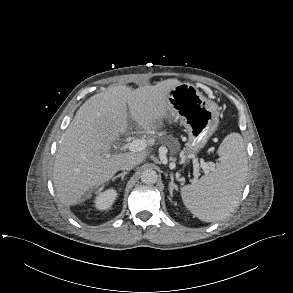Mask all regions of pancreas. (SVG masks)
Returning <instances> with one entry per match:
<instances>
[{
	"label": "pancreas",
	"mask_w": 293,
	"mask_h": 293,
	"mask_svg": "<svg viewBox=\"0 0 293 293\" xmlns=\"http://www.w3.org/2000/svg\"><path fill=\"white\" fill-rule=\"evenodd\" d=\"M172 152H176L179 149V143H177L176 147H170Z\"/></svg>",
	"instance_id": "1"
}]
</instances>
